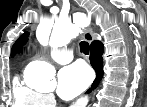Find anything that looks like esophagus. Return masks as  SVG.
Listing matches in <instances>:
<instances>
[{"instance_id": "1", "label": "esophagus", "mask_w": 147, "mask_h": 107, "mask_svg": "<svg viewBox=\"0 0 147 107\" xmlns=\"http://www.w3.org/2000/svg\"><path fill=\"white\" fill-rule=\"evenodd\" d=\"M83 38L89 43H91L93 41L94 38H93L92 31L90 30V28H87L84 31Z\"/></svg>"}]
</instances>
